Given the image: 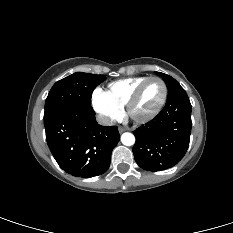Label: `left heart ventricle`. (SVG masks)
<instances>
[{
	"label": "left heart ventricle",
	"mask_w": 233,
	"mask_h": 233,
	"mask_svg": "<svg viewBox=\"0 0 233 233\" xmlns=\"http://www.w3.org/2000/svg\"><path fill=\"white\" fill-rule=\"evenodd\" d=\"M163 95V86L159 81L149 82L138 99L134 113L138 116L148 114L156 108Z\"/></svg>",
	"instance_id": "obj_1"
}]
</instances>
